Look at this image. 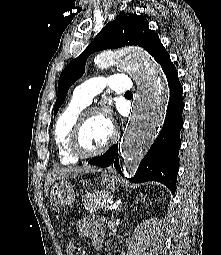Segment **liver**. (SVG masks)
Returning <instances> with one entry per match:
<instances>
[{
  "mask_svg": "<svg viewBox=\"0 0 221 255\" xmlns=\"http://www.w3.org/2000/svg\"><path fill=\"white\" fill-rule=\"evenodd\" d=\"M100 169H97L93 166L84 165L83 167H67V168H56L50 172L45 180L44 184V193L47 195L49 191V186L54 183L56 180H67L69 178H74L78 175L87 173V172H99Z\"/></svg>",
  "mask_w": 221,
  "mask_h": 255,
  "instance_id": "obj_1",
  "label": "liver"
}]
</instances>
